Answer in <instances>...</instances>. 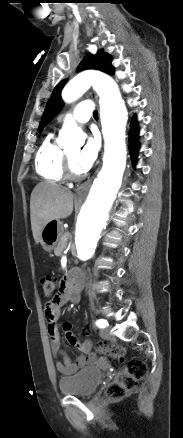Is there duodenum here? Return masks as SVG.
I'll list each match as a JSON object with an SVG mask.
<instances>
[{
	"label": "duodenum",
	"mask_w": 183,
	"mask_h": 438,
	"mask_svg": "<svg viewBox=\"0 0 183 438\" xmlns=\"http://www.w3.org/2000/svg\"><path fill=\"white\" fill-rule=\"evenodd\" d=\"M81 287H82L81 282L74 278V280H72V289L74 291H78V290H80Z\"/></svg>",
	"instance_id": "duodenum-1"
}]
</instances>
